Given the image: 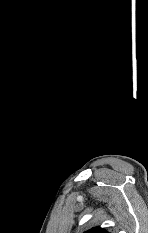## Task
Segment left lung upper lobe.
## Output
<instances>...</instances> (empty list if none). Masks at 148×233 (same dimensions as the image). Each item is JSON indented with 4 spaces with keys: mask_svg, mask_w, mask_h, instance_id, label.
<instances>
[{
    "mask_svg": "<svg viewBox=\"0 0 148 233\" xmlns=\"http://www.w3.org/2000/svg\"><path fill=\"white\" fill-rule=\"evenodd\" d=\"M85 233H108V232L106 230H104L103 228L95 227V228H92V229L86 231Z\"/></svg>",
    "mask_w": 148,
    "mask_h": 233,
    "instance_id": "1",
    "label": "left lung upper lobe"
}]
</instances>
